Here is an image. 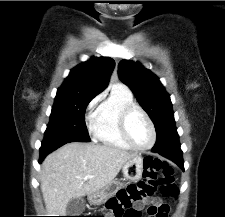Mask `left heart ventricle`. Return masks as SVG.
<instances>
[{
  "instance_id": "b2bd125f",
  "label": "left heart ventricle",
  "mask_w": 225,
  "mask_h": 217,
  "mask_svg": "<svg viewBox=\"0 0 225 217\" xmlns=\"http://www.w3.org/2000/svg\"><path fill=\"white\" fill-rule=\"evenodd\" d=\"M129 133L133 142L141 147L149 145L152 140V133L149 124L144 116L139 112H135L130 117Z\"/></svg>"
}]
</instances>
